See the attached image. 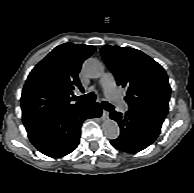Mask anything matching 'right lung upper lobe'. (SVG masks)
<instances>
[{"label":"right lung upper lobe","mask_w":194,"mask_h":193,"mask_svg":"<svg viewBox=\"0 0 194 193\" xmlns=\"http://www.w3.org/2000/svg\"><path fill=\"white\" fill-rule=\"evenodd\" d=\"M96 48L64 43L54 48L28 76L21 96L23 123L50 118L74 109L75 87L83 91L78 73Z\"/></svg>","instance_id":"right-lung-upper-lobe-1"}]
</instances>
